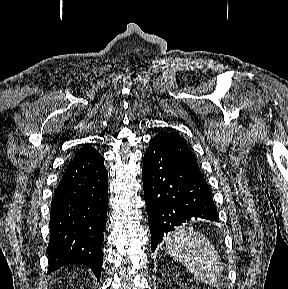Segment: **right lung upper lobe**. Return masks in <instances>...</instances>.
<instances>
[{"instance_id": "right-lung-upper-lobe-1", "label": "right lung upper lobe", "mask_w": 288, "mask_h": 289, "mask_svg": "<svg viewBox=\"0 0 288 289\" xmlns=\"http://www.w3.org/2000/svg\"><path fill=\"white\" fill-rule=\"evenodd\" d=\"M91 152H95V149L90 145H85L80 151L77 152L75 158L86 155Z\"/></svg>"}]
</instances>
